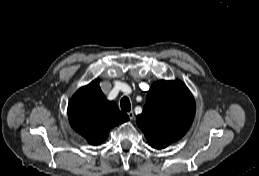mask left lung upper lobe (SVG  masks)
Wrapping results in <instances>:
<instances>
[{
  "instance_id": "1",
  "label": "left lung upper lobe",
  "mask_w": 259,
  "mask_h": 176,
  "mask_svg": "<svg viewBox=\"0 0 259 176\" xmlns=\"http://www.w3.org/2000/svg\"><path fill=\"white\" fill-rule=\"evenodd\" d=\"M194 115L195 101L186 85L160 80L152 84L137 124L150 146L162 149L188 131Z\"/></svg>"
}]
</instances>
